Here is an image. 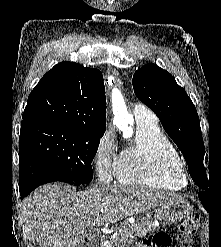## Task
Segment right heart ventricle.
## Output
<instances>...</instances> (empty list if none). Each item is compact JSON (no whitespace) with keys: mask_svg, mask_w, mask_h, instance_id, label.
<instances>
[{"mask_svg":"<svg viewBox=\"0 0 221 247\" xmlns=\"http://www.w3.org/2000/svg\"><path fill=\"white\" fill-rule=\"evenodd\" d=\"M134 139L125 145L117 158L119 184L180 190L185 182L167 173L170 163L181 164L179 153L157 122H136Z\"/></svg>","mask_w":221,"mask_h":247,"instance_id":"1","label":"right heart ventricle"}]
</instances>
